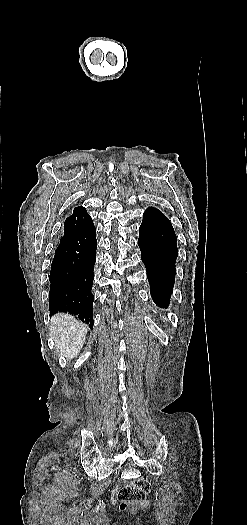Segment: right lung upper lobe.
Instances as JSON below:
<instances>
[{"instance_id":"obj_1","label":"right lung upper lobe","mask_w":247,"mask_h":525,"mask_svg":"<svg viewBox=\"0 0 247 525\" xmlns=\"http://www.w3.org/2000/svg\"><path fill=\"white\" fill-rule=\"evenodd\" d=\"M93 224V221L83 206L74 208L64 223V235L61 240L83 231Z\"/></svg>"}]
</instances>
